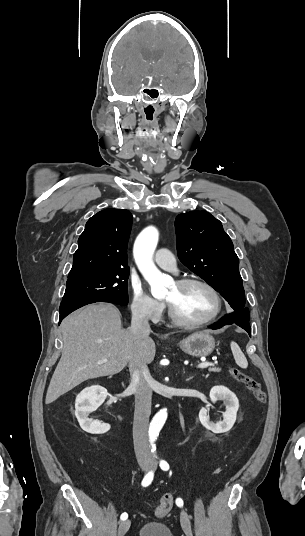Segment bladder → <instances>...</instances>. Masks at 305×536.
<instances>
[{
	"instance_id": "obj_1",
	"label": "bladder",
	"mask_w": 305,
	"mask_h": 536,
	"mask_svg": "<svg viewBox=\"0 0 305 536\" xmlns=\"http://www.w3.org/2000/svg\"><path fill=\"white\" fill-rule=\"evenodd\" d=\"M136 536H173V534L166 523L148 520L139 526Z\"/></svg>"
}]
</instances>
